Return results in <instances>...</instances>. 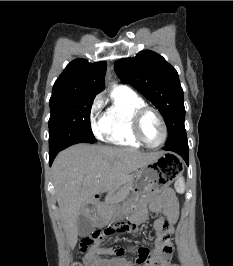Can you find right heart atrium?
Here are the masks:
<instances>
[{
	"label": "right heart atrium",
	"mask_w": 233,
	"mask_h": 266,
	"mask_svg": "<svg viewBox=\"0 0 233 266\" xmlns=\"http://www.w3.org/2000/svg\"><path fill=\"white\" fill-rule=\"evenodd\" d=\"M102 98L97 96L91 106L90 110V124L93 133L97 137L103 136L105 132V123L103 116H101Z\"/></svg>",
	"instance_id": "right-heart-atrium-1"
}]
</instances>
